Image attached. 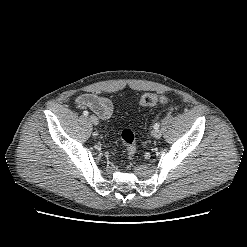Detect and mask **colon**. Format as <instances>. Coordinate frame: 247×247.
<instances>
[{"label": "colon", "instance_id": "5ec220e1", "mask_svg": "<svg viewBox=\"0 0 247 247\" xmlns=\"http://www.w3.org/2000/svg\"><path fill=\"white\" fill-rule=\"evenodd\" d=\"M166 102H168V98L159 93L148 92L143 94L140 98V104L145 107L154 106L156 104H164ZM121 140L126 147L128 160H133L136 153V143L132 130L124 129L121 132Z\"/></svg>", "mask_w": 247, "mask_h": 247}]
</instances>
